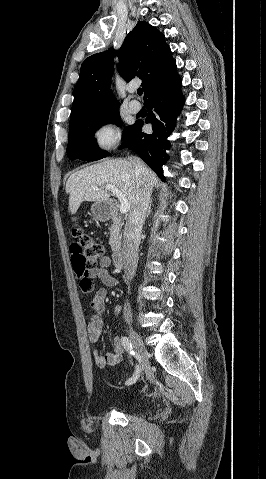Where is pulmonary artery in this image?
I'll return each instance as SVG.
<instances>
[{
  "instance_id": "pulmonary-artery-1",
  "label": "pulmonary artery",
  "mask_w": 266,
  "mask_h": 479,
  "mask_svg": "<svg viewBox=\"0 0 266 479\" xmlns=\"http://www.w3.org/2000/svg\"><path fill=\"white\" fill-rule=\"evenodd\" d=\"M132 93L133 90H130ZM128 107L132 113H137L141 109V104L137 100H131L128 103Z\"/></svg>"
}]
</instances>
